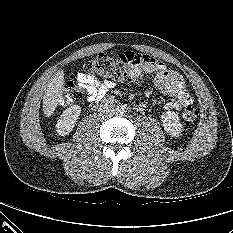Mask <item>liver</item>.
Masks as SVG:
<instances>
[{
	"label": "liver",
	"instance_id": "1",
	"mask_svg": "<svg viewBox=\"0 0 233 233\" xmlns=\"http://www.w3.org/2000/svg\"><path fill=\"white\" fill-rule=\"evenodd\" d=\"M64 90V72L59 70L50 80L43 96V112L50 117L55 111Z\"/></svg>",
	"mask_w": 233,
	"mask_h": 233
}]
</instances>
